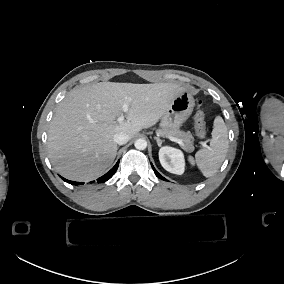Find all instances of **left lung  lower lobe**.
Returning <instances> with one entry per match:
<instances>
[{
    "label": "left lung lower lobe",
    "instance_id": "1",
    "mask_svg": "<svg viewBox=\"0 0 284 284\" xmlns=\"http://www.w3.org/2000/svg\"><path fill=\"white\" fill-rule=\"evenodd\" d=\"M151 166H152V168H153V170H154V172H155V174H156L157 177H159V178L162 179V180H166L164 177H162V176L156 171V169L153 167L152 164H151Z\"/></svg>",
    "mask_w": 284,
    "mask_h": 284
}]
</instances>
